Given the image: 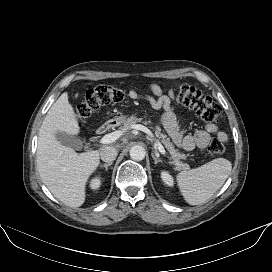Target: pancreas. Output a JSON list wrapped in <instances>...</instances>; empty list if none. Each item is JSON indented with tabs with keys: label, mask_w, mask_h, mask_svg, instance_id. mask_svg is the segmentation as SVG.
<instances>
[{
	"label": "pancreas",
	"mask_w": 272,
	"mask_h": 272,
	"mask_svg": "<svg viewBox=\"0 0 272 272\" xmlns=\"http://www.w3.org/2000/svg\"><path fill=\"white\" fill-rule=\"evenodd\" d=\"M141 121H142V118H137L135 115H132L129 118L125 119L124 126L131 127L132 125ZM144 124L147 125L149 124V122L145 121ZM154 131H155L156 137L161 140L162 144L170 153L172 164L175 165V168L177 170L188 169L189 165L181 162V159H186L187 155L184 153H180L175 149L174 144L170 141L167 135L161 131V128L159 126H156L154 128Z\"/></svg>",
	"instance_id": "pancreas-1"
}]
</instances>
